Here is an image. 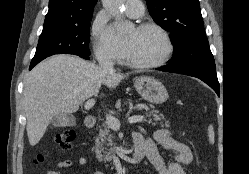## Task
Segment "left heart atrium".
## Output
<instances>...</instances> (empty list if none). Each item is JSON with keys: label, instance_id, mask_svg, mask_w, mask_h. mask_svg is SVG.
I'll list each match as a JSON object with an SVG mask.
<instances>
[{"label": "left heart atrium", "instance_id": "39dd6f15", "mask_svg": "<svg viewBox=\"0 0 249 174\" xmlns=\"http://www.w3.org/2000/svg\"><path fill=\"white\" fill-rule=\"evenodd\" d=\"M114 48L119 56L125 57L127 52V44L125 42H119L115 38L112 39Z\"/></svg>", "mask_w": 249, "mask_h": 174}]
</instances>
